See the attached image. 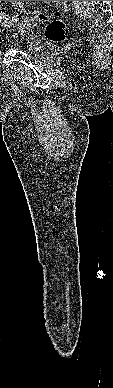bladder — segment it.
<instances>
[{
  "instance_id": "obj_1",
  "label": "bladder",
  "mask_w": 113,
  "mask_h": 388,
  "mask_svg": "<svg viewBox=\"0 0 113 388\" xmlns=\"http://www.w3.org/2000/svg\"><path fill=\"white\" fill-rule=\"evenodd\" d=\"M33 22L32 20H25L24 22H22L20 25H19V29L22 31V32H28L30 30H32L33 28ZM27 51L32 54V55H39L41 53H43L44 51V45L41 44L40 42H31L30 44H28L27 46Z\"/></svg>"
}]
</instances>
